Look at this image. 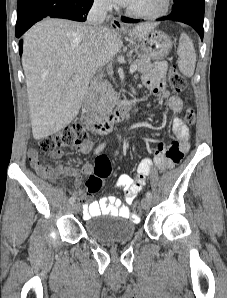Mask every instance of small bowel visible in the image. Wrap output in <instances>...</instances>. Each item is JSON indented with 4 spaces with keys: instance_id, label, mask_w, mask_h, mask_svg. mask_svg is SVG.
I'll use <instances>...</instances> for the list:
<instances>
[{
    "instance_id": "small-bowel-1",
    "label": "small bowel",
    "mask_w": 227,
    "mask_h": 298,
    "mask_svg": "<svg viewBox=\"0 0 227 298\" xmlns=\"http://www.w3.org/2000/svg\"><path fill=\"white\" fill-rule=\"evenodd\" d=\"M166 70L167 64L165 62L155 63L154 68L145 78V85L151 95H161L165 100L167 108L176 115L171 122L172 131L176 140L169 144L159 142L155 149L153 160L149 158L141 160L135 177L128 174H122L118 177L114 188L122 189L124 191L129 205L133 203L134 199L145 185L146 177L150 174L153 165L160 170L171 167H180L181 159H183V156L190 147L189 128L180 118V114L183 110L182 100L178 96L172 95L164 88ZM76 149L81 154H87L92 149V142L86 141L79 144ZM62 155V151L54 153L53 158L58 159ZM28 158L33 169L45 178L58 179L64 176L73 177L75 185V188L71 190L73 197L78 201H85L87 199L88 195L80 190V185L82 183L81 174L88 175L93 171V167L90 164L83 165L80 171L70 166H48L41 162L38 152L34 149L28 151ZM100 215L120 216L137 220V217L131 213L129 207L123 204L119 198L112 195L84 204V219H90Z\"/></svg>"
}]
</instances>
